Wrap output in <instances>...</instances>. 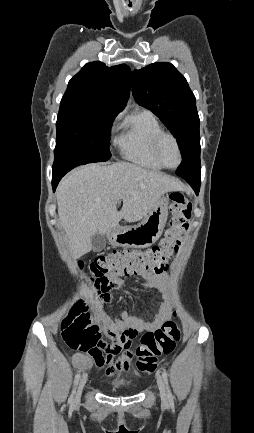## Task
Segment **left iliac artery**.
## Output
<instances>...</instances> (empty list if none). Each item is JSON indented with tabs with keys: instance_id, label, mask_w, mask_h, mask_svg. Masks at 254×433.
<instances>
[{
	"instance_id": "44dca946",
	"label": "left iliac artery",
	"mask_w": 254,
	"mask_h": 433,
	"mask_svg": "<svg viewBox=\"0 0 254 433\" xmlns=\"http://www.w3.org/2000/svg\"><path fill=\"white\" fill-rule=\"evenodd\" d=\"M162 377H163V380H164V382L166 384L167 396H168L169 403L171 405H173V403H174L173 395H172L171 390H170L169 385H168V376H167V373L164 370L162 371Z\"/></svg>"
}]
</instances>
